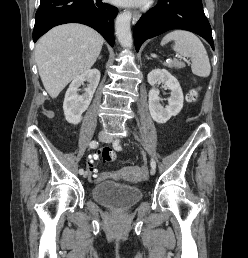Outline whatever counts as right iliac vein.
<instances>
[{
  "mask_svg": "<svg viewBox=\"0 0 248 258\" xmlns=\"http://www.w3.org/2000/svg\"><path fill=\"white\" fill-rule=\"evenodd\" d=\"M108 137V134L106 132H100L99 135H98V138L100 141H104L106 140ZM89 176V172L88 171H85L84 174H83V177L86 178Z\"/></svg>",
  "mask_w": 248,
  "mask_h": 258,
  "instance_id": "63e3f726",
  "label": "right iliac vein"
}]
</instances>
